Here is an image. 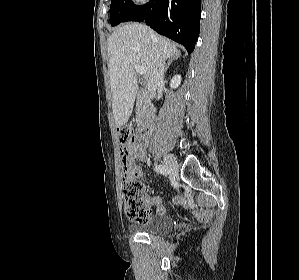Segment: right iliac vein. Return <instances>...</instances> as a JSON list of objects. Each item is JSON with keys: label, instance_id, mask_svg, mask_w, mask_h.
<instances>
[{"label": "right iliac vein", "instance_id": "right-iliac-vein-1", "mask_svg": "<svg viewBox=\"0 0 299 280\" xmlns=\"http://www.w3.org/2000/svg\"><path fill=\"white\" fill-rule=\"evenodd\" d=\"M164 162L173 173H177L178 163L172 155L169 154L164 155Z\"/></svg>", "mask_w": 299, "mask_h": 280}]
</instances>
